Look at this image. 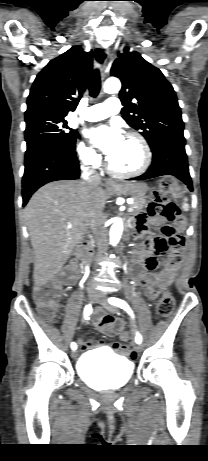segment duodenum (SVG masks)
Wrapping results in <instances>:
<instances>
[{
	"instance_id": "obj_1",
	"label": "duodenum",
	"mask_w": 208,
	"mask_h": 461,
	"mask_svg": "<svg viewBox=\"0 0 208 461\" xmlns=\"http://www.w3.org/2000/svg\"><path fill=\"white\" fill-rule=\"evenodd\" d=\"M92 255V247L90 240L87 236H84L79 243V256L82 262L86 263L89 261Z\"/></svg>"
}]
</instances>
